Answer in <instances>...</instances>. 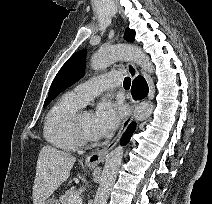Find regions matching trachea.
<instances>
[{"label":"trachea","mask_w":212,"mask_h":204,"mask_svg":"<svg viewBox=\"0 0 212 204\" xmlns=\"http://www.w3.org/2000/svg\"><path fill=\"white\" fill-rule=\"evenodd\" d=\"M130 85H131V79L129 77H126L124 79V82H123V87L125 89H129L130 88Z\"/></svg>","instance_id":"1"}]
</instances>
